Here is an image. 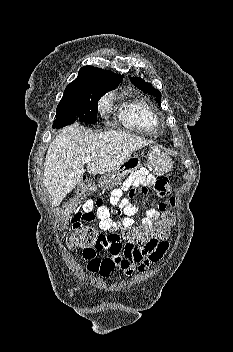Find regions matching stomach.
I'll use <instances>...</instances> for the list:
<instances>
[{"mask_svg": "<svg viewBox=\"0 0 233 352\" xmlns=\"http://www.w3.org/2000/svg\"><path fill=\"white\" fill-rule=\"evenodd\" d=\"M146 166L156 173H167L172 168L171 158L158 148H152L146 156ZM141 167L140 159L137 156L129 157L116 169L103 175L99 181V187L112 189L121 184V181L128 173Z\"/></svg>", "mask_w": 233, "mask_h": 352, "instance_id": "obj_1", "label": "stomach"}]
</instances>
